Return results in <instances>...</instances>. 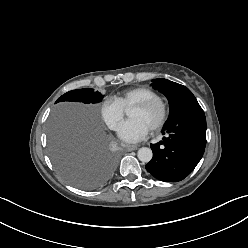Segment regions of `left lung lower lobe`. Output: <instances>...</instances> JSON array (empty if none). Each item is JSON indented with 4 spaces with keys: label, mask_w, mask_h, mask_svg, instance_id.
<instances>
[{
    "label": "left lung lower lobe",
    "mask_w": 248,
    "mask_h": 248,
    "mask_svg": "<svg viewBox=\"0 0 248 248\" xmlns=\"http://www.w3.org/2000/svg\"><path fill=\"white\" fill-rule=\"evenodd\" d=\"M162 134L167 136L150 145L153 158L145 168L161 181H181L194 170L206 146V118L197 100L188 101L166 121Z\"/></svg>",
    "instance_id": "left-lung-lower-lobe-1"
}]
</instances>
